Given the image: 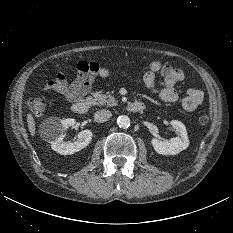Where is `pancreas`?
Segmentation results:
<instances>
[{"instance_id": "1", "label": "pancreas", "mask_w": 233, "mask_h": 233, "mask_svg": "<svg viewBox=\"0 0 233 233\" xmlns=\"http://www.w3.org/2000/svg\"><path fill=\"white\" fill-rule=\"evenodd\" d=\"M94 97V104L95 105H109V106H115L117 105V100L111 96V95H106L101 92H95L92 94Z\"/></svg>"}]
</instances>
